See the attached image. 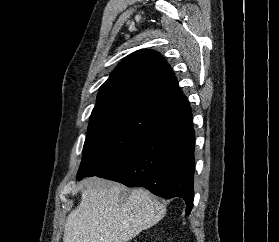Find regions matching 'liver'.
I'll return each mask as SVG.
<instances>
[{
    "label": "liver",
    "mask_w": 279,
    "mask_h": 242,
    "mask_svg": "<svg viewBox=\"0 0 279 242\" xmlns=\"http://www.w3.org/2000/svg\"><path fill=\"white\" fill-rule=\"evenodd\" d=\"M165 213L166 206L145 189L128 192L112 181L86 179L80 205L67 217L63 242H127Z\"/></svg>",
    "instance_id": "liver-1"
}]
</instances>
